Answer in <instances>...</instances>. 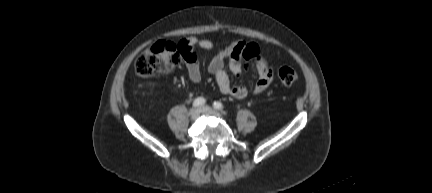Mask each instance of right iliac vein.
Here are the masks:
<instances>
[{
  "mask_svg": "<svg viewBox=\"0 0 432 193\" xmlns=\"http://www.w3.org/2000/svg\"><path fill=\"white\" fill-rule=\"evenodd\" d=\"M200 114H201V110H200V109H195V110H193V111L191 112V119H192L193 121L198 120L199 117H200Z\"/></svg>",
  "mask_w": 432,
  "mask_h": 193,
  "instance_id": "1",
  "label": "right iliac vein"
}]
</instances>
